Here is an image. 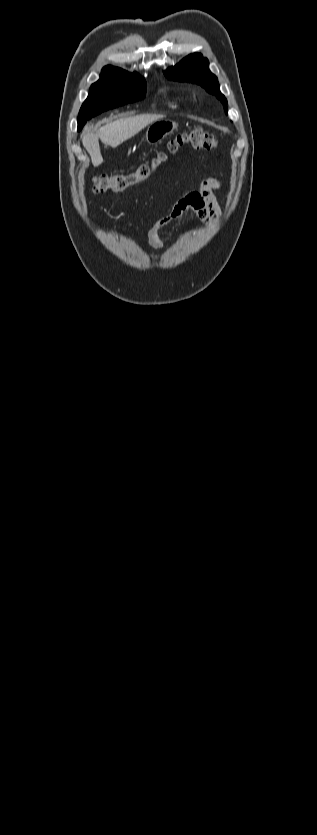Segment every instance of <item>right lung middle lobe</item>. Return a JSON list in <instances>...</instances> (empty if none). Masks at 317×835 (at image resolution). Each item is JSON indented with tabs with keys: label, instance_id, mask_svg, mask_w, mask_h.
Wrapping results in <instances>:
<instances>
[{
	"label": "right lung middle lobe",
	"instance_id": "dd1d6c3e",
	"mask_svg": "<svg viewBox=\"0 0 317 835\" xmlns=\"http://www.w3.org/2000/svg\"><path fill=\"white\" fill-rule=\"evenodd\" d=\"M145 93L146 82L137 73L117 70L100 76L91 85L89 95L79 111L78 131L88 119L108 109L141 100Z\"/></svg>",
	"mask_w": 317,
	"mask_h": 835
}]
</instances>
